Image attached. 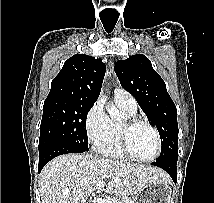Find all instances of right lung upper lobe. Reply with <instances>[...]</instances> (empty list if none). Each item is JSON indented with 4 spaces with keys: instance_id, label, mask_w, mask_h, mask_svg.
Here are the masks:
<instances>
[{
    "instance_id": "right-lung-upper-lobe-1",
    "label": "right lung upper lobe",
    "mask_w": 214,
    "mask_h": 203,
    "mask_svg": "<svg viewBox=\"0 0 214 203\" xmlns=\"http://www.w3.org/2000/svg\"><path fill=\"white\" fill-rule=\"evenodd\" d=\"M106 65L101 59L76 54L66 60L51 83L46 100L96 102L99 97Z\"/></svg>"
}]
</instances>
